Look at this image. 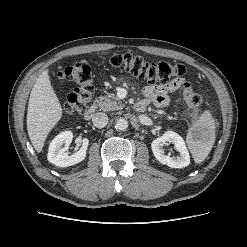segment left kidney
I'll list each match as a JSON object with an SVG mask.
<instances>
[{"label": "left kidney", "instance_id": "left-kidney-1", "mask_svg": "<svg viewBox=\"0 0 247 247\" xmlns=\"http://www.w3.org/2000/svg\"><path fill=\"white\" fill-rule=\"evenodd\" d=\"M168 143L174 144V148L179 152V156L171 157L165 154L163 146ZM151 148L155 158L160 163L171 168H183L190 164L189 152L183 138L173 131H167L161 137L153 140Z\"/></svg>", "mask_w": 247, "mask_h": 247}]
</instances>
